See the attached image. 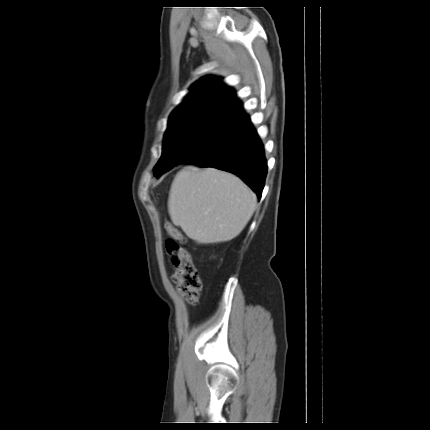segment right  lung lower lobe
Masks as SVG:
<instances>
[{
	"label": "right lung lower lobe",
	"instance_id": "obj_1",
	"mask_svg": "<svg viewBox=\"0 0 430 430\" xmlns=\"http://www.w3.org/2000/svg\"><path fill=\"white\" fill-rule=\"evenodd\" d=\"M184 163L214 167L240 177L258 196L264 187L267 161L264 146L248 115L228 132Z\"/></svg>",
	"mask_w": 430,
	"mask_h": 430
}]
</instances>
